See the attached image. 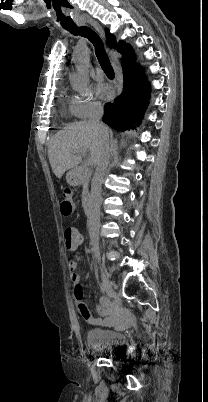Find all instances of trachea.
<instances>
[{
    "instance_id": "3493384b",
    "label": "trachea",
    "mask_w": 208,
    "mask_h": 402,
    "mask_svg": "<svg viewBox=\"0 0 208 402\" xmlns=\"http://www.w3.org/2000/svg\"><path fill=\"white\" fill-rule=\"evenodd\" d=\"M66 30H68V32L72 33L75 36L80 35L82 37L88 38V40L95 47V53H96V56L98 58V61L101 65L102 69L104 70V72L106 73L107 76L114 77V71L111 66L110 60L106 54L103 41L101 40L99 35H97V33H95L91 28L86 27V26L69 27V28H66Z\"/></svg>"
}]
</instances>
